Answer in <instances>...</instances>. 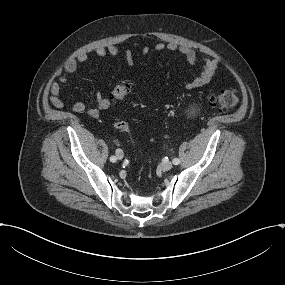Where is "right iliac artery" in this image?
<instances>
[{"mask_svg":"<svg viewBox=\"0 0 285 285\" xmlns=\"http://www.w3.org/2000/svg\"><path fill=\"white\" fill-rule=\"evenodd\" d=\"M110 161H111V162H116V157H115V156H111V157H110Z\"/></svg>","mask_w":285,"mask_h":285,"instance_id":"obj_1","label":"right iliac artery"}]
</instances>
